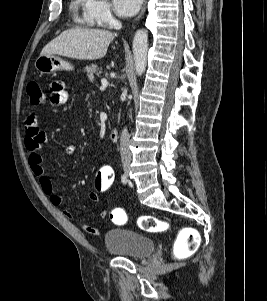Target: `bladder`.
I'll return each mask as SVG.
<instances>
[{
  "instance_id": "1",
  "label": "bladder",
  "mask_w": 267,
  "mask_h": 301,
  "mask_svg": "<svg viewBox=\"0 0 267 301\" xmlns=\"http://www.w3.org/2000/svg\"><path fill=\"white\" fill-rule=\"evenodd\" d=\"M103 241L107 250L130 259L142 258L155 251L152 239L127 229H109Z\"/></svg>"
}]
</instances>
